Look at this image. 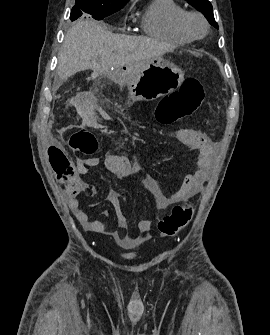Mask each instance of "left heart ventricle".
<instances>
[{
	"mask_svg": "<svg viewBox=\"0 0 270 335\" xmlns=\"http://www.w3.org/2000/svg\"><path fill=\"white\" fill-rule=\"evenodd\" d=\"M188 25L194 35L201 36L204 33V25L200 19L191 17L188 21Z\"/></svg>",
	"mask_w": 270,
	"mask_h": 335,
	"instance_id": "left-heart-ventricle-1",
	"label": "left heart ventricle"
}]
</instances>
